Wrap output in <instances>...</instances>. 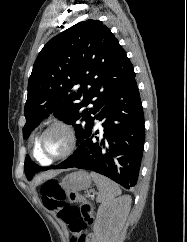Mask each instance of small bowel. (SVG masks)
Listing matches in <instances>:
<instances>
[{"mask_svg":"<svg viewBox=\"0 0 187 242\" xmlns=\"http://www.w3.org/2000/svg\"><path fill=\"white\" fill-rule=\"evenodd\" d=\"M91 240H92V242H96V240H95V237H94V236H91Z\"/></svg>","mask_w":187,"mask_h":242,"instance_id":"small-bowel-1","label":"small bowel"}]
</instances>
